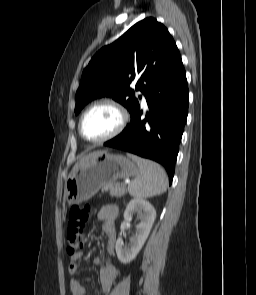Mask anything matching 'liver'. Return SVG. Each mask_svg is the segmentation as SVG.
Listing matches in <instances>:
<instances>
[{
	"mask_svg": "<svg viewBox=\"0 0 256 295\" xmlns=\"http://www.w3.org/2000/svg\"><path fill=\"white\" fill-rule=\"evenodd\" d=\"M102 152H104V151H95V152H92V153H89V154L83 156V157L79 160V162H77V163L75 164V166L73 167V170H75L77 167H79V166L82 165L83 163L87 162L88 160H90V159L96 157L97 155L101 154ZM73 170H72V171H73Z\"/></svg>",
	"mask_w": 256,
	"mask_h": 295,
	"instance_id": "6515ba94",
	"label": "liver"
}]
</instances>
